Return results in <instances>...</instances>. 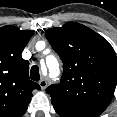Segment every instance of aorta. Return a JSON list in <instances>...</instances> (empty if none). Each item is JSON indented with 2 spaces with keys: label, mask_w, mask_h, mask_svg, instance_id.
<instances>
[{
  "label": "aorta",
  "mask_w": 117,
  "mask_h": 117,
  "mask_svg": "<svg viewBox=\"0 0 117 117\" xmlns=\"http://www.w3.org/2000/svg\"><path fill=\"white\" fill-rule=\"evenodd\" d=\"M47 64L50 65V71L54 75L57 74V69H58V62L54 56H48L46 59Z\"/></svg>",
  "instance_id": "762f6f07"
}]
</instances>
